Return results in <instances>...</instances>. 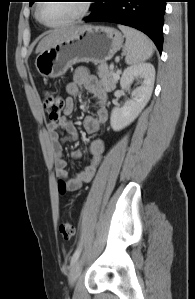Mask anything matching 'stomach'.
Returning a JSON list of instances; mask_svg holds the SVG:
<instances>
[{"label":"stomach","mask_w":195,"mask_h":299,"mask_svg":"<svg viewBox=\"0 0 195 299\" xmlns=\"http://www.w3.org/2000/svg\"><path fill=\"white\" fill-rule=\"evenodd\" d=\"M123 41L124 36L115 28L83 26L72 36L39 53L35 66L44 77H60L76 63H105L120 50Z\"/></svg>","instance_id":"0dacf381"}]
</instances>
